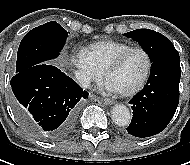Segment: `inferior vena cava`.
Listing matches in <instances>:
<instances>
[{"mask_svg": "<svg viewBox=\"0 0 190 165\" xmlns=\"http://www.w3.org/2000/svg\"><path fill=\"white\" fill-rule=\"evenodd\" d=\"M76 79L81 84L82 87L88 88L90 86V79L85 76L83 73L76 71L75 72Z\"/></svg>", "mask_w": 190, "mask_h": 165, "instance_id": "inferior-vena-cava-1", "label": "inferior vena cava"}]
</instances>
